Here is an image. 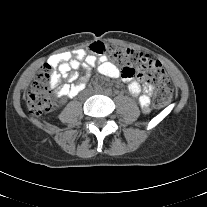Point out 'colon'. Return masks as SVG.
Here are the masks:
<instances>
[{
	"instance_id": "1",
	"label": "colon",
	"mask_w": 207,
	"mask_h": 207,
	"mask_svg": "<svg viewBox=\"0 0 207 207\" xmlns=\"http://www.w3.org/2000/svg\"><path fill=\"white\" fill-rule=\"evenodd\" d=\"M90 49L118 63L123 77L134 78L137 75L145 80L146 86L150 88L157 86L153 100L155 107L161 108L170 102L172 91L169 87V77L158 60L116 44L92 42ZM51 69L50 66L45 65V69L36 76L27 94V107L34 115L46 113L53 106L54 89L49 73Z\"/></svg>"
}]
</instances>
